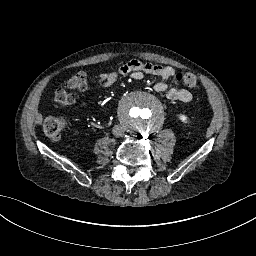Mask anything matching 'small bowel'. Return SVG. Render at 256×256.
Listing matches in <instances>:
<instances>
[{"instance_id":"obj_1","label":"small bowel","mask_w":256,"mask_h":256,"mask_svg":"<svg viewBox=\"0 0 256 256\" xmlns=\"http://www.w3.org/2000/svg\"><path fill=\"white\" fill-rule=\"evenodd\" d=\"M175 73L176 70L172 66L148 64L133 59L120 66L118 70L99 73L98 84L100 87L108 88L116 84L121 76L131 75L135 79H140L144 74H150L160 79L154 86L158 93H165L167 99L172 101L189 102L192 95L187 89L167 88L166 82L174 79Z\"/></svg>"}]
</instances>
